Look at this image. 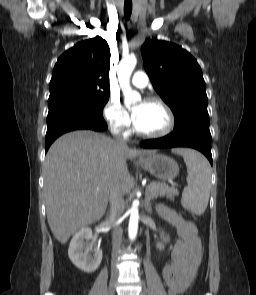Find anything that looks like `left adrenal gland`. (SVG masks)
I'll use <instances>...</instances> for the list:
<instances>
[{"label": "left adrenal gland", "mask_w": 256, "mask_h": 295, "mask_svg": "<svg viewBox=\"0 0 256 295\" xmlns=\"http://www.w3.org/2000/svg\"><path fill=\"white\" fill-rule=\"evenodd\" d=\"M145 210L150 214L153 212L148 198L145 199Z\"/></svg>", "instance_id": "1"}]
</instances>
